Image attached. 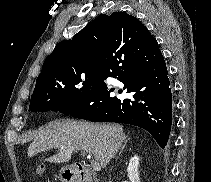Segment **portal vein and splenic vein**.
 <instances>
[{
  "label": "portal vein and splenic vein",
  "mask_w": 211,
  "mask_h": 182,
  "mask_svg": "<svg viewBox=\"0 0 211 182\" xmlns=\"http://www.w3.org/2000/svg\"><path fill=\"white\" fill-rule=\"evenodd\" d=\"M83 153H85V151H83ZM91 164H92L94 170L100 171V169H101L100 164L96 160H92Z\"/></svg>",
  "instance_id": "18ae733b"
}]
</instances>
